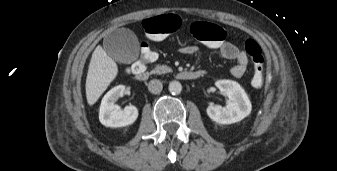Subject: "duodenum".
Segmentation results:
<instances>
[{
    "label": "duodenum",
    "instance_id": "duodenum-1",
    "mask_svg": "<svg viewBox=\"0 0 337 171\" xmlns=\"http://www.w3.org/2000/svg\"><path fill=\"white\" fill-rule=\"evenodd\" d=\"M133 73L138 80H146L148 73L145 67H139L136 64L133 66ZM205 75L204 70L182 71L177 74V77L182 80H196Z\"/></svg>",
    "mask_w": 337,
    "mask_h": 171
}]
</instances>
